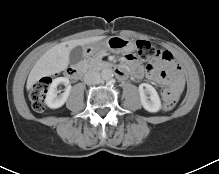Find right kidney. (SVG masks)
I'll return each mask as SVG.
<instances>
[{
    "label": "right kidney",
    "mask_w": 219,
    "mask_h": 174,
    "mask_svg": "<svg viewBox=\"0 0 219 174\" xmlns=\"http://www.w3.org/2000/svg\"><path fill=\"white\" fill-rule=\"evenodd\" d=\"M63 84L65 86L64 92L59 94L57 86ZM71 91V84L68 78L58 77L54 79L48 88L45 103L49 108L56 109L64 105Z\"/></svg>",
    "instance_id": "right-kidney-1"
}]
</instances>
